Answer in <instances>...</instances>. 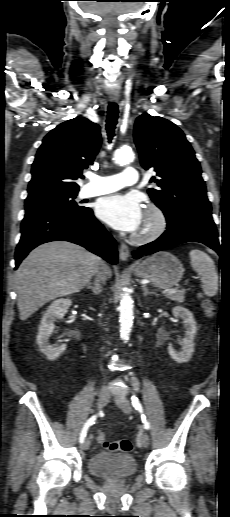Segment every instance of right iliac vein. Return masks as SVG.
I'll return each instance as SVG.
<instances>
[{"label": "right iliac vein", "instance_id": "right-iliac-vein-1", "mask_svg": "<svg viewBox=\"0 0 230 517\" xmlns=\"http://www.w3.org/2000/svg\"><path fill=\"white\" fill-rule=\"evenodd\" d=\"M110 397V391L108 388H102L98 395L97 407L102 409L108 402ZM90 447V440L86 438L82 443V449L88 450Z\"/></svg>", "mask_w": 230, "mask_h": 517}]
</instances>
